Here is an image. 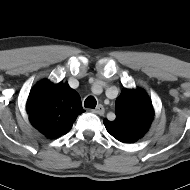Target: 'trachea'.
<instances>
[{"instance_id":"3493384b","label":"trachea","mask_w":190,"mask_h":190,"mask_svg":"<svg viewBox=\"0 0 190 190\" xmlns=\"http://www.w3.org/2000/svg\"><path fill=\"white\" fill-rule=\"evenodd\" d=\"M97 101L93 96H88L85 99L84 106L85 108H92L94 109L96 107Z\"/></svg>"}]
</instances>
